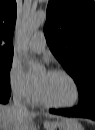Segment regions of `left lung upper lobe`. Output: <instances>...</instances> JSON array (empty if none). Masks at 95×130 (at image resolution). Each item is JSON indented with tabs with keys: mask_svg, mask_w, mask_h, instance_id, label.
<instances>
[{
	"mask_svg": "<svg viewBox=\"0 0 95 130\" xmlns=\"http://www.w3.org/2000/svg\"><path fill=\"white\" fill-rule=\"evenodd\" d=\"M47 44L77 84L79 96L95 85V3L49 0Z\"/></svg>",
	"mask_w": 95,
	"mask_h": 130,
	"instance_id": "1",
	"label": "left lung upper lobe"
}]
</instances>
